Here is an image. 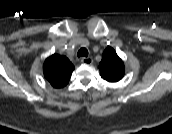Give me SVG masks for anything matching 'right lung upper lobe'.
<instances>
[{
    "label": "right lung upper lobe",
    "instance_id": "cb5924a9",
    "mask_svg": "<svg viewBox=\"0 0 172 134\" xmlns=\"http://www.w3.org/2000/svg\"><path fill=\"white\" fill-rule=\"evenodd\" d=\"M74 70L73 64L65 56L53 54L43 64V73L46 80L54 88L67 85Z\"/></svg>",
    "mask_w": 172,
    "mask_h": 134
}]
</instances>
